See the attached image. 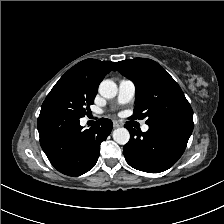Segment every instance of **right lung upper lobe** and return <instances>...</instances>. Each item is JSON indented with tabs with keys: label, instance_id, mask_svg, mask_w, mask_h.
Returning <instances> with one entry per match:
<instances>
[{
	"label": "right lung upper lobe",
	"instance_id": "obj_1",
	"mask_svg": "<svg viewBox=\"0 0 224 224\" xmlns=\"http://www.w3.org/2000/svg\"><path fill=\"white\" fill-rule=\"evenodd\" d=\"M114 65L115 62L86 59L69 69L64 76L77 80L97 92L100 82Z\"/></svg>",
	"mask_w": 224,
	"mask_h": 224
}]
</instances>
